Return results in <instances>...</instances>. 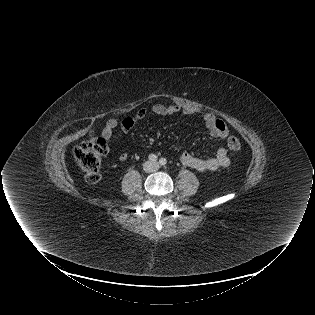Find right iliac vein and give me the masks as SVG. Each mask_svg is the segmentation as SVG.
Segmentation results:
<instances>
[{
	"label": "right iliac vein",
	"mask_w": 315,
	"mask_h": 315,
	"mask_svg": "<svg viewBox=\"0 0 315 315\" xmlns=\"http://www.w3.org/2000/svg\"><path fill=\"white\" fill-rule=\"evenodd\" d=\"M150 165H151L150 163H146L145 166H144L145 169H148L150 167Z\"/></svg>",
	"instance_id": "63e3f726"
}]
</instances>
